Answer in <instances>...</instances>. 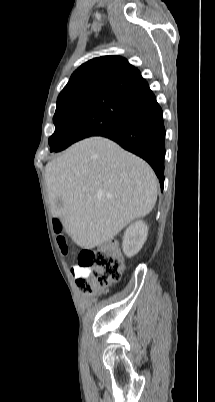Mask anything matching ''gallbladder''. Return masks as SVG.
<instances>
[{
  "label": "gallbladder",
  "instance_id": "obj_1",
  "mask_svg": "<svg viewBox=\"0 0 215 402\" xmlns=\"http://www.w3.org/2000/svg\"><path fill=\"white\" fill-rule=\"evenodd\" d=\"M58 205H62V202H61V201H59V202H58Z\"/></svg>",
  "mask_w": 215,
  "mask_h": 402
}]
</instances>
